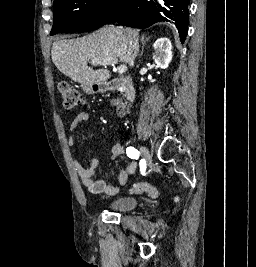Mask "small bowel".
Masks as SVG:
<instances>
[{
  "mask_svg": "<svg viewBox=\"0 0 256 267\" xmlns=\"http://www.w3.org/2000/svg\"><path fill=\"white\" fill-rule=\"evenodd\" d=\"M89 119V115L86 111H80L71 121L70 130L72 132L76 131L78 126ZM70 147L75 145V138L70 136L67 140ZM124 152L123 146L116 144L111 149V160H115L120 157ZM88 167L85 168L78 160L73 161V167L78 174L83 186L91 194H103L104 197L113 196L118 193L121 186H124L130 175L134 174L138 167L137 160L133 159L124 168L120 169L118 172L113 171L118 179L119 186L112 183L106 182L104 180L95 179V175L100 167V163L97 159H89Z\"/></svg>",
  "mask_w": 256,
  "mask_h": 267,
  "instance_id": "1",
  "label": "small bowel"
}]
</instances>
